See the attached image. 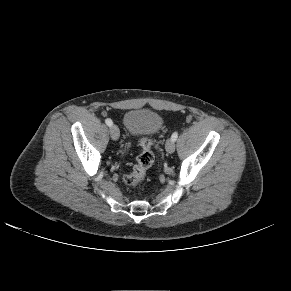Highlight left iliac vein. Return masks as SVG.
<instances>
[{
	"instance_id": "4c4485c4",
	"label": "left iliac vein",
	"mask_w": 291,
	"mask_h": 291,
	"mask_svg": "<svg viewBox=\"0 0 291 291\" xmlns=\"http://www.w3.org/2000/svg\"><path fill=\"white\" fill-rule=\"evenodd\" d=\"M165 149L168 153H173L175 151V143L172 139H168L165 144Z\"/></svg>"
}]
</instances>
